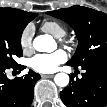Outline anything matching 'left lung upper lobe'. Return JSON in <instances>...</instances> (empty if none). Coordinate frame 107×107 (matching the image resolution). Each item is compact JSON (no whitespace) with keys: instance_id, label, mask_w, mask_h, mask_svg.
<instances>
[{"instance_id":"obj_1","label":"left lung upper lobe","mask_w":107,"mask_h":107,"mask_svg":"<svg viewBox=\"0 0 107 107\" xmlns=\"http://www.w3.org/2000/svg\"><path fill=\"white\" fill-rule=\"evenodd\" d=\"M47 14L67 22L76 32L79 44L67 65L78 67L97 60H107V15L105 13L76 5L49 11Z\"/></svg>"}]
</instances>
